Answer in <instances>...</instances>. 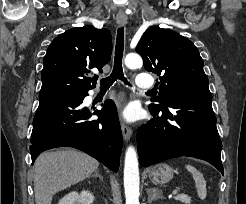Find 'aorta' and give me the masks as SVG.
I'll use <instances>...</instances> for the list:
<instances>
[{
  "instance_id": "obj_1",
  "label": "aorta",
  "mask_w": 246,
  "mask_h": 204,
  "mask_svg": "<svg viewBox=\"0 0 246 204\" xmlns=\"http://www.w3.org/2000/svg\"><path fill=\"white\" fill-rule=\"evenodd\" d=\"M125 65L131 69L142 67L140 55L131 53L125 57ZM139 168L137 153L133 146H129L125 153L124 162V190L126 204H139Z\"/></svg>"
}]
</instances>
